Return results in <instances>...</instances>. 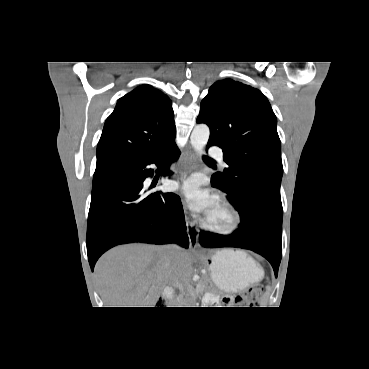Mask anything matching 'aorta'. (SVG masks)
Masks as SVG:
<instances>
[{
  "mask_svg": "<svg viewBox=\"0 0 369 369\" xmlns=\"http://www.w3.org/2000/svg\"><path fill=\"white\" fill-rule=\"evenodd\" d=\"M210 136L209 127L205 124L196 125L192 131L190 140L193 149L198 153L202 154L203 149L206 146Z\"/></svg>",
  "mask_w": 369,
  "mask_h": 369,
  "instance_id": "762f6f07",
  "label": "aorta"
}]
</instances>
